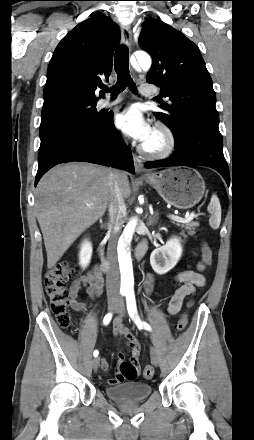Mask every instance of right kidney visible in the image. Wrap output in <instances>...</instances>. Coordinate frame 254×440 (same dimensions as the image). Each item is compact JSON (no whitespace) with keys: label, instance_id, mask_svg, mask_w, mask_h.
Segmentation results:
<instances>
[{"label":"right kidney","instance_id":"1","mask_svg":"<svg viewBox=\"0 0 254 440\" xmlns=\"http://www.w3.org/2000/svg\"><path fill=\"white\" fill-rule=\"evenodd\" d=\"M92 250L93 248L91 242H89L88 240H84L81 244L79 252V264L83 269L88 267V265L90 264Z\"/></svg>","mask_w":254,"mask_h":440}]
</instances>
